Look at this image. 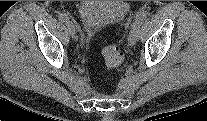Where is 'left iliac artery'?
<instances>
[{
    "instance_id": "left-iliac-artery-1",
    "label": "left iliac artery",
    "mask_w": 207,
    "mask_h": 121,
    "mask_svg": "<svg viewBox=\"0 0 207 121\" xmlns=\"http://www.w3.org/2000/svg\"><path fill=\"white\" fill-rule=\"evenodd\" d=\"M147 15H148L147 11L145 10L139 11L134 19L132 28H135L136 26H140L147 18Z\"/></svg>"
}]
</instances>
